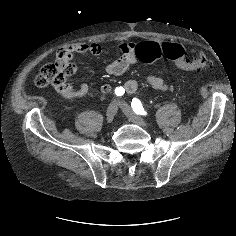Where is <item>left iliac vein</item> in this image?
Wrapping results in <instances>:
<instances>
[{
    "label": "left iliac vein",
    "mask_w": 236,
    "mask_h": 236,
    "mask_svg": "<svg viewBox=\"0 0 236 236\" xmlns=\"http://www.w3.org/2000/svg\"><path fill=\"white\" fill-rule=\"evenodd\" d=\"M119 106L131 122H133L141 127H144V128L148 127V124L141 117L137 116L132 111L130 106L128 104H126L124 101H119Z\"/></svg>",
    "instance_id": "obj_1"
}]
</instances>
